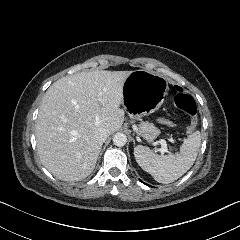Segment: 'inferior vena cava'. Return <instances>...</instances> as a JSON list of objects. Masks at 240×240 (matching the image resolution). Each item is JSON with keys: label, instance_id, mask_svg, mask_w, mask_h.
<instances>
[{"label": "inferior vena cava", "instance_id": "602c4592", "mask_svg": "<svg viewBox=\"0 0 240 240\" xmlns=\"http://www.w3.org/2000/svg\"><path fill=\"white\" fill-rule=\"evenodd\" d=\"M109 135H110V133L108 130H106L104 128H100L97 130L96 139L101 142H104L108 138Z\"/></svg>", "mask_w": 240, "mask_h": 240}]
</instances>
